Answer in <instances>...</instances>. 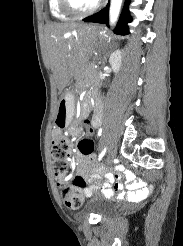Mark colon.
I'll use <instances>...</instances> for the list:
<instances>
[{"label": "colon", "instance_id": "1", "mask_svg": "<svg viewBox=\"0 0 183 246\" xmlns=\"http://www.w3.org/2000/svg\"><path fill=\"white\" fill-rule=\"evenodd\" d=\"M65 118V113H59L58 127L52 134L51 156L53 170L58 178L61 199L67 208L74 210L80 208L83 203L82 191L90 186L83 177L75 174L69 162L68 143L61 131ZM86 128L84 138L77 143L78 152H82L84 157H95L93 138H96V130L94 125H87Z\"/></svg>", "mask_w": 183, "mask_h": 246}]
</instances>
